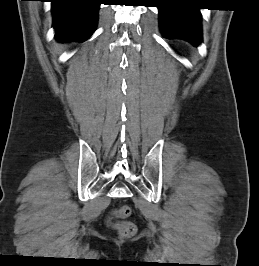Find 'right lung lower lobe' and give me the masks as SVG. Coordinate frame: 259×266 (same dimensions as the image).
<instances>
[{
    "label": "right lung lower lobe",
    "instance_id": "98d812e1",
    "mask_svg": "<svg viewBox=\"0 0 259 266\" xmlns=\"http://www.w3.org/2000/svg\"><path fill=\"white\" fill-rule=\"evenodd\" d=\"M58 40L85 41L95 30L101 0H51Z\"/></svg>",
    "mask_w": 259,
    "mask_h": 266
}]
</instances>
